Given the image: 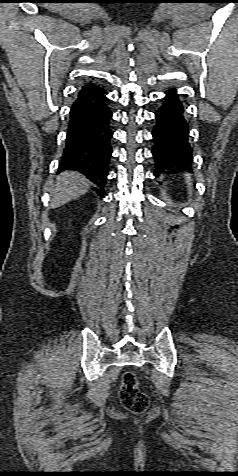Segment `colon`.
<instances>
[{
    "mask_svg": "<svg viewBox=\"0 0 238 476\" xmlns=\"http://www.w3.org/2000/svg\"><path fill=\"white\" fill-rule=\"evenodd\" d=\"M119 398L121 404L133 413H142L147 409L148 397L140 390L135 372L126 371L122 375Z\"/></svg>",
    "mask_w": 238,
    "mask_h": 476,
    "instance_id": "obj_1",
    "label": "colon"
}]
</instances>
